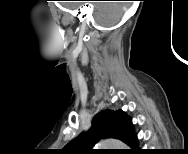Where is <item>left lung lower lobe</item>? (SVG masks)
<instances>
[{"instance_id":"obj_1","label":"left lung lower lobe","mask_w":188,"mask_h":154,"mask_svg":"<svg viewBox=\"0 0 188 154\" xmlns=\"http://www.w3.org/2000/svg\"><path fill=\"white\" fill-rule=\"evenodd\" d=\"M123 142L131 148L130 149L131 151L138 150L137 137L135 135V132H134V129H133V124H132L131 120L128 124L127 132H126V135H125Z\"/></svg>"}]
</instances>
